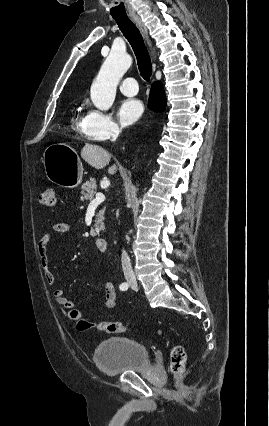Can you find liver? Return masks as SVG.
Masks as SVG:
<instances>
[{"instance_id": "obj_1", "label": "liver", "mask_w": 269, "mask_h": 426, "mask_svg": "<svg viewBox=\"0 0 269 426\" xmlns=\"http://www.w3.org/2000/svg\"><path fill=\"white\" fill-rule=\"evenodd\" d=\"M81 157L90 166L96 169H102L109 164L111 155L103 147L95 144L85 143L81 150ZM117 171L116 165H112L108 168V173L113 175Z\"/></svg>"}]
</instances>
